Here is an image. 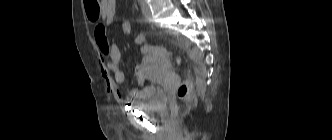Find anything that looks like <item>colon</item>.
I'll use <instances>...</instances> for the list:
<instances>
[{"instance_id":"5ec220e1","label":"colon","mask_w":332,"mask_h":140,"mask_svg":"<svg viewBox=\"0 0 332 140\" xmlns=\"http://www.w3.org/2000/svg\"><path fill=\"white\" fill-rule=\"evenodd\" d=\"M86 12L89 17L96 19L100 12V0H84ZM132 25L129 20H123L118 26V31L123 35L131 33ZM191 84L187 81L182 82L177 89V96L183 101L190 100Z\"/></svg>"}]
</instances>
